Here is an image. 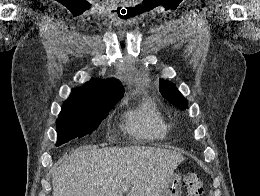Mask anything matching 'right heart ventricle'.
I'll return each instance as SVG.
<instances>
[{
  "label": "right heart ventricle",
  "mask_w": 260,
  "mask_h": 196,
  "mask_svg": "<svg viewBox=\"0 0 260 196\" xmlns=\"http://www.w3.org/2000/svg\"><path fill=\"white\" fill-rule=\"evenodd\" d=\"M129 127L139 138L145 140H163L170 132V126L164 117L152 106L144 104L129 112L126 116ZM93 192H104L93 190ZM113 192H123L114 190Z\"/></svg>",
  "instance_id": "e07e8e85"
}]
</instances>
